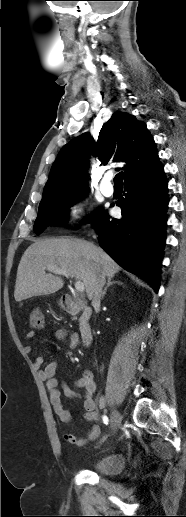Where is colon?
Listing matches in <instances>:
<instances>
[{"label":"colon","instance_id":"colon-1","mask_svg":"<svg viewBox=\"0 0 186 517\" xmlns=\"http://www.w3.org/2000/svg\"><path fill=\"white\" fill-rule=\"evenodd\" d=\"M44 314L40 309H33L29 315V325L33 329L44 327Z\"/></svg>","mask_w":186,"mask_h":517}]
</instances>
